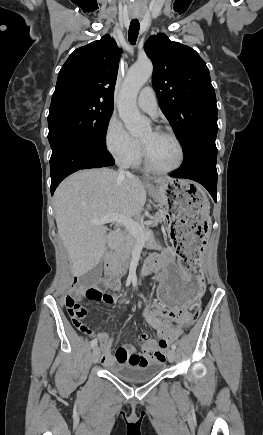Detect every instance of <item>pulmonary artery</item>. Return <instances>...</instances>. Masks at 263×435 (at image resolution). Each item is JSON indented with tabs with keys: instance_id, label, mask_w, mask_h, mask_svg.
Here are the masks:
<instances>
[{
	"instance_id": "e3ab8cb5",
	"label": "pulmonary artery",
	"mask_w": 263,
	"mask_h": 435,
	"mask_svg": "<svg viewBox=\"0 0 263 435\" xmlns=\"http://www.w3.org/2000/svg\"><path fill=\"white\" fill-rule=\"evenodd\" d=\"M137 105L142 111L149 113L153 116L157 115L158 104L154 91L151 87L147 86L141 90L137 99Z\"/></svg>"
}]
</instances>
